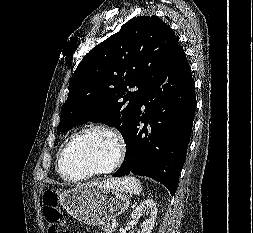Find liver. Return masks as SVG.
Listing matches in <instances>:
<instances>
[{
  "instance_id": "obj_1",
  "label": "liver",
  "mask_w": 253,
  "mask_h": 233,
  "mask_svg": "<svg viewBox=\"0 0 253 233\" xmlns=\"http://www.w3.org/2000/svg\"><path fill=\"white\" fill-rule=\"evenodd\" d=\"M96 183L103 184V185H105L107 187H110V184L112 183V181L111 180H106L104 182H96Z\"/></svg>"
}]
</instances>
